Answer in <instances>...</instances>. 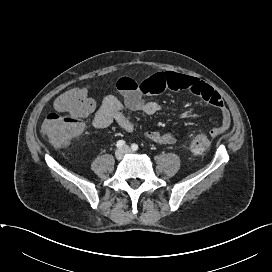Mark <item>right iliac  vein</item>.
Listing matches in <instances>:
<instances>
[{"label": "right iliac vein", "mask_w": 272, "mask_h": 272, "mask_svg": "<svg viewBox=\"0 0 272 272\" xmlns=\"http://www.w3.org/2000/svg\"><path fill=\"white\" fill-rule=\"evenodd\" d=\"M124 153H125L124 149H122V148L117 149L115 151L116 159L121 160L123 158V156H124Z\"/></svg>", "instance_id": "obj_1"}]
</instances>
